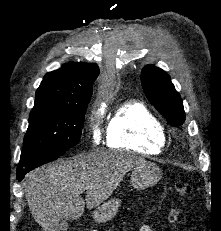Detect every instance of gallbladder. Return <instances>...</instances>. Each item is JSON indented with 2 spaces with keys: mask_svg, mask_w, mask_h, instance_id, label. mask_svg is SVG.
Returning a JSON list of instances; mask_svg holds the SVG:
<instances>
[{
  "mask_svg": "<svg viewBox=\"0 0 221 231\" xmlns=\"http://www.w3.org/2000/svg\"><path fill=\"white\" fill-rule=\"evenodd\" d=\"M67 229H68V223H67V221L66 220H62L60 222V230L61 231H67Z\"/></svg>",
  "mask_w": 221,
  "mask_h": 231,
  "instance_id": "bac80fb5",
  "label": "gallbladder"
}]
</instances>
